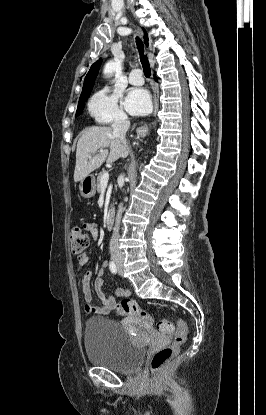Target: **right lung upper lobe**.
<instances>
[{
    "label": "right lung upper lobe",
    "instance_id": "obj_1",
    "mask_svg": "<svg viewBox=\"0 0 266 415\" xmlns=\"http://www.w3.org/2000/svg\"><path fill=\"white\" fill-rule=\"evenodd\" d=\"M144 31V42L146 45H148V37H147V33L146 31L143 29ZM102 63V59L100 58L98 61H96L95 63L92 64L89 72L87 73L85 80H84V85H83V90L81 93V96L87 95L88 93L90 94L92 87L94 85L95 79L97 77L100 65Z\"/></svg>",
    "mask_w": 266,
    "mask_h": 415
}]
</instances>
